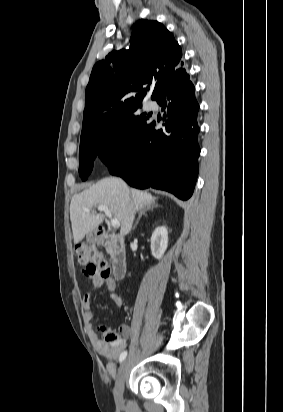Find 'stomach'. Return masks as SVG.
Masks as SVG:
<instances>
[{
	"label": "stomach",
	"instance_id": "1",
	"mask_svg": "<svg viewBox=\"0 0 283 412\" xmlns=\"http://www.w3.org/2000/svg\"><path fill=\"white\" fill-rule=\"evenodd\" d=\"M87 238H88V240H90V241H94V237H93L91 234H89V235L87 236Z\"/></svg>",
	"mask_w": 283,
	"mask_h": 412
}]
</instances>
